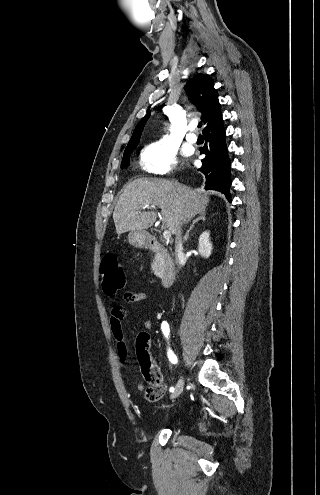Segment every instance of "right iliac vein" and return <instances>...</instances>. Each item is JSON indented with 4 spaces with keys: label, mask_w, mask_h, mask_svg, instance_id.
Masks as SVG:
<instances>
[{
    "label": "right iliac vein",
    "mask_w": 320,
    "mask_h": 495,
    "mask_svg": "<svg viewBox=\"0 0 320 495\" xmlns=\"http://www.w3.org/2000/svg\"><path fill=\"white\" fill-rule=\"evenodd\" d=\"M183 386H184V381H183V377L181 376L180 379L178 380V383L175 386V390L172 392L170 398L171 399L177 398L183 392Z\"/></svg>",
    "instance_id": "1"
}]
</instances>
